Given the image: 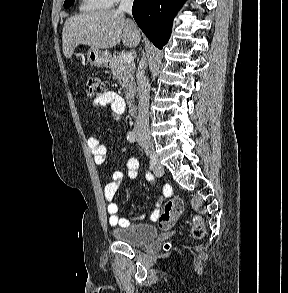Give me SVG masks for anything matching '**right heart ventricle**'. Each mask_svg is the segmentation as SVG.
<instances>
[{
	"label": "right heart ventricle",
	"instance_id": "e07e8e85",
	"mask_svg": "<svg viewBox=\"0 0 288 293\" xmlns=\"http://www.w3.org/2000/svg\"><path fill=\"white\" fill-rule=\"evenodd\" d=\"M111 6L108 0H81V11H95L107 9Z\"/></svg>",
	"mask_w": 288,
	"mask_h": 293
}]
</instances>
